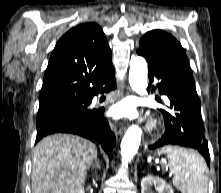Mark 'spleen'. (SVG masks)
I'll list each match as a JSON object with an SVG mask.
<instances>
[{
  "label": "spleen",
  "instance_id": "spleen-1",
  "mask_svg": "<svg viewBox=\"0 0 221 193\" xmlns=\"http://www.w3.org/2000/svg\"><path fill=\"white\" fill-rule=\"evenodd\" d=\"M173 185L182 193H207V165L190 146H165Z\"/></svg>",
  "mask_w": 221,
  "mask_h": 193
}]
</instances>
